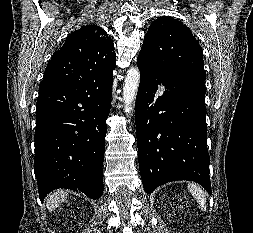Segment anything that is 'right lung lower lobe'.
I'll list each match as a JSON object with an SVG mask.
<instances>
[{"label":"right lung lower lobe","mask_w":253,"mask_h":233,"mask_svg":"<svg viewBox=\"0 0 253 233\" xmlns=\"http://www.w3.org/2000/svg\"><path fill=\"white\" fill-rule=\"evenodd\" d=\"M112 83L111 71L39 90L34 170L41 201L58 188L101 197Z\"/></svg>","instance_id":"right-lung-lower-lobe-1"}]
</instances>
